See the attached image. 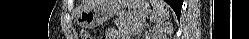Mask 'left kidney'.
Wrapping results in <instances>:
<instances>
[{
  "label": "left kidney",
  "instance_id": "1",
  "mask_svg": "<svg viewBox=\"0 0 249 39\" xmlns=\"http://www.w3.org/2000/svg\"><path fill=\"white\" fill-rule=\"evenodd\" d=\"M151 33L145 35V39H150Z\"/></svg>",
  "mask_w": 249,
  "mask_h": 39
}]
</instances>
